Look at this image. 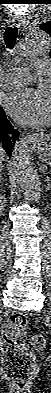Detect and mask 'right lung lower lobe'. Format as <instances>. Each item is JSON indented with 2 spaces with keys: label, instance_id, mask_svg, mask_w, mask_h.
I'll use <instances>...</instances> for the list:
<instances>
[{
  "label": "right lung lower lobe",
  "instance_id": "98d812e1",
  "mask_svg": "<svg viewBox=\"0 0 51 393\" xmlns=\"http://www.w3.org/2000/svg\"><path fill=\"white\" fill-rule=\"evenodd\" d=\"M9 133L12 134V138H9ZM18 137L19 132L16 129H13L12 124L8 121L2 109L0 111V149L3 147L9 157H11L15 141L18 139Z\"/></svg>",
  "mask_w": 51,
  "mask_h": 393
}]
</instances>
